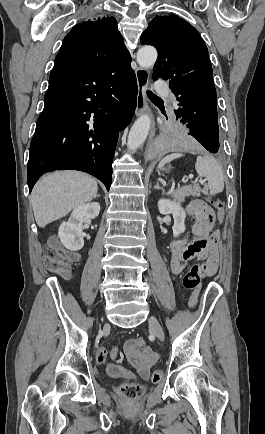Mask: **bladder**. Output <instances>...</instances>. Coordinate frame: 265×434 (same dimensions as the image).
<instances>
[{
  "label": "bladder",
  "mask_w": 265,
  "mask_h": 434,
  "mask_svg": "<svg viewBox=\"0 0 265 434\" xmlns=\"http://www.w3.org/2000/svg\"><path fill=\"white\" fill-rule=\"evenodd\" d=\"M105 372L108 376L113 378H130L131 374L124 367L117 364H108L105 367Z\"/></svg>",
  "instance_id": "1"
}]
</instances>
